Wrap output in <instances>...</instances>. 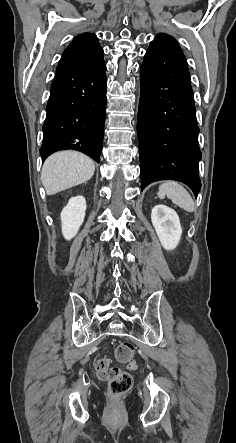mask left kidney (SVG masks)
I'll return each mask as SVG.
<instances>
[{
	"mask_svg": "<svg viewBox=\"0 0 236 443\" xmlns=\"http://www.w3.org/2000/svg\"><path fill=\"white\" fill-rule=\"evenodd\" d=\"M151 221L163 248L166 250L175 249L182 235L177 213L173 209L159 204L152 209Z\"/></svg>",
	"mask_w": 236,
	"mask_h": 443,
	"instance_id": "left-kidney-1",
	"label": "left kidney"
}]
</instances>
